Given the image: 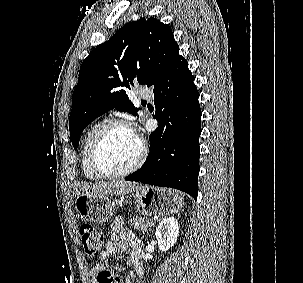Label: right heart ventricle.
<instances>
[{
    "instance_id": "obj_1",
    "label": "right heart ventricle",
    "mask_w": 303,
    "mask_h": 283,
    "mask_svg": "<svg viewBox=\"0 0 303 283\" xmlns=\"http://www.w3.org/2000/svg\"><path fill=\"white\" fill-rule=\"evenodd\" d=\"M102 124L103 122L101 120H98L90 125V127L87 129L84 135L82 146H81V168L84 176L91 181H99L102 179L94 172L89 162V149L91 142L97 130L100 128Z\"/></svg>"
}]
</instances>
